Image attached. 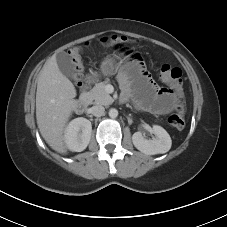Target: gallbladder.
Here are the masks:
<instances>
[{
  "instance_id": "obj_1",
  "label": "gallbladder",
  "mask_w": 227,
  "mask_h": 227,
  "mask_svg": "<svg viewBox=\"0 0 227 227\" xmlns=\"http://www.w3.org/2000/svg\"><path fill=\"white\" fill-rule=\"evenodd\" d=\"M56 62L60 71L69 79H73L75 75L74 64L66 52H60L56 55Z\"/></svg>"
}]
</instances>
